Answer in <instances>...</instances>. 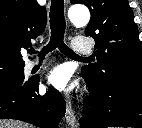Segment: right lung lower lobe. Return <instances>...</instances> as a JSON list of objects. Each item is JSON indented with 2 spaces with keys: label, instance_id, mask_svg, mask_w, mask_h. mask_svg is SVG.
<instances>
[{
  "label": "right lung lower lobe",
  "instance_id": "98d812e1",
  "mask_svg": "<svg viewBox=\"0 0 142 128\" xmlns=\"http://www.w3.org/2000/svg\"><path fill=\"white\" fill-rule=\"evenodd\" d=\"M39 77L0 89V119H17L43 128H58L65 101L57 90L39 94Z\"/></svg>",
  "mask_w": 142,
  "mask_h": 128
}]
</instances>
